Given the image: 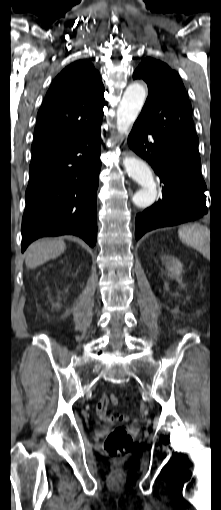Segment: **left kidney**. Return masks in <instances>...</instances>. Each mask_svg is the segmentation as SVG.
<instances>
[{
  "mask_svg": "<svg viewBox=\"0 0 221 510\" xmlns=\"http://www.w3.org/2000/svg\"><path fill=\"white\" fill-rule=\"evenodd\" d=\"M162 263L166 266L168 271L172 273L173 275H179L182 271V264L181 262L172 257V256H165L162 258Z\"/></svg>",
  "mask_w": 221,
  "mask_h": 510,
  "instance_id": "1",
  "label": "left kidney"
}]
</instances>
